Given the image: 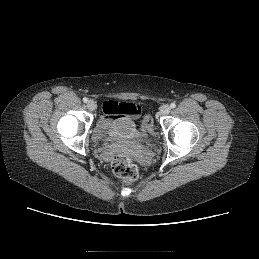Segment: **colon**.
Here are the masks:
<instances>
[{"mask_svg":"<svg viewBox=\"0 0 259 259\" xmlns=\"http://www.w3.org/2000/svg\"><path fill=\"white\" fill-rule=\"evenodd\" d=\"M124 109L131 113L132 109L129 105H124ZM150 120L146 118L143 121V130L146 131L149 128ZM112 169L114 174L121 178L124 182L130 183L138 178L139 171L137 165L133 159L124 154H116L112 160Z\"/></svg>","mask_w":259,"mask_h":259,"instance_id":"colon-1","label":"colon"}]
</instances>
